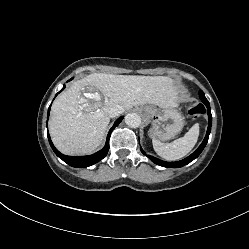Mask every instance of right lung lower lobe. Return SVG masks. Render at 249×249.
Listing matches in <instances>:
<instances>
[{
    "instance_id": "98d812e1",
    "label": "right lung lower lobe",
    "mask_w": 249,
    "mask_h": 249,
    "mask_svg": "<svg viewBox=\"0 0 249 249\" xmlns=\"http://www.w3.org/2000/svg\"><path fill=\"white\" fill-rule=\"evenodd\" d=\"M64 88H65V85H64L63 89ZM49 113H50V107L48 109V117H49ZM123 118L124 117L122 116L115 121L114 125L112 126V128L110 129V131L108 133L106 144H105L104 148L101 149L100 151H98L97 153H94V154L89 155V156H66V155H63L54 147V145L50 139L49 133H48V140H49V143H50L53 151L55 152V154L59 158H61L64 162H66L67 164H69L72 167H79V168L88 167V166H91V165L99 162L107 155L108 150H109L110 134H111L112 130L119 125V123L122 121Z\"/></svg>"
}]
</instances>
